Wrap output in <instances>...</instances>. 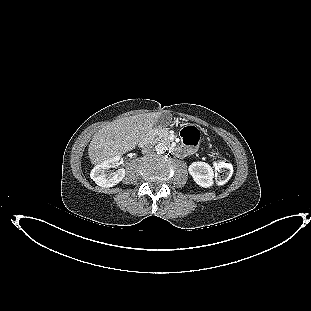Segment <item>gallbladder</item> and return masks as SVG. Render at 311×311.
<instances>
[{"label":"gallbladder","instance_id":"obj_1","mask_svg":"<svg viewBox=\"0 0 311 311\" xmlns=\"http://www.w3.org/2000/svg\"><path fill=\"white\" fill-rule=\"evenodd\" d=\"M172 115L169 111H163L159 118L157 119V124L159 126H167L171 123Z\"/></svg>","mask_w":311,"mask_h":311}]
</instances>
